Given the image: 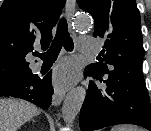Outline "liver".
Masks as SVG:
<instances>
[{"label": "liver", "mask_w": 151, "mask_h": 131, "mask_svg": "<svg viewBox=\"0 0 151 131\" xmlns=\"http://www.w3.org/2000/svg\"><path fill=\"white\" fill-rule=\"evenodd\" d=\"M40 114L33 104L17 99H0V131H17L28 120Z\"/></svg>", "instance_id": "6515ba94"}]
</instances>
